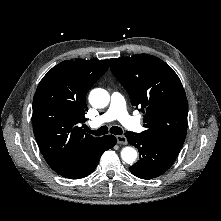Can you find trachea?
<instances>
[{"mask_svg": "<svg viewBox=\"0 0 221 221\" xmlns=\"http://www.w3.org/2000/svg\"><path fill=\"white\" fill-rule=\"evenodd\" d=\"M85 130L88 133H92V134H95V135H98V136L108 133V127L107 126H102L97 130H91L90 128L85 127ZM110 133L115 134V135H121L122 134V129L120 127H117V126H112L110 128Z\"/></svg>", "mask_w": 221, "mask_h": 221, "instance_id": "3493384b", "label": "trachea"}]
</instances>
